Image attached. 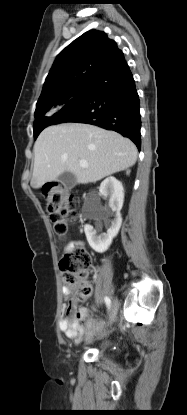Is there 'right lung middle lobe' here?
Segmentation results:
<instances>
[{
  "label": "right lung middle lobe",
  "instance_id": "obj_1",
  "mask_svg": "<svg viewBox=\"0 0 187 415\" xmlns=\"http://www.w3.org/2000/svg\"><path fill=\"white\" fill-rule=\"evenodd\" d=\"M88 86V81L84 82L83 84L79 86H75L73 88L68 89L64 95L60 98L59 101L49 105V106H43L35 111V121L33 124V130H34V138L36 139L37 136L40 134V132L46 128L47 126H50L53 122V116L50 115L52 112L62 109L65 104H67L69 101H71L74 97L77 95L83 93Z\"/></svg>",
  "mask_w": 187,
  "mask_h": 415
}]
</instances>
